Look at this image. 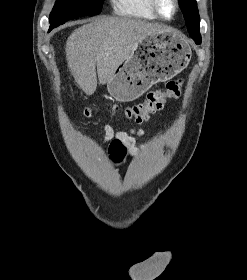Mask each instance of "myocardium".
I'll return each instance as SVG.
<instances>
[{
    "instance_id": "1",
    "label": "myocardium",
    "mask_w": 247,
    "mask_h": 280,
    "mask_svg": "<svg viewBox=\"0 0 247 280\" xmlns=\"http://www.w3.org/2000/svg\"><path fill=\"white\" fill-rule=\"evenodd\" d=\"M171 1H172L173 5H174V12H173V15L171 17H166L161 12L160 0H151L152 8H153L154 12L156 13V15L160 19L166 20V21H170V20L174 19L175 16L177 15V13L179 11V1L178 0H171Z\"/></svg>"
}]
</instances>
